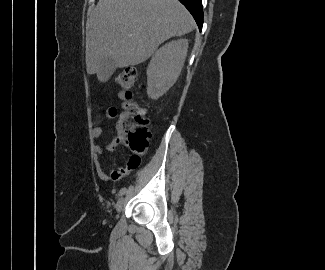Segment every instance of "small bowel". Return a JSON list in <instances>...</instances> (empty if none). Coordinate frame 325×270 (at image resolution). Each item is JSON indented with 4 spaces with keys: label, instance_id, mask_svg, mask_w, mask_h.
I'll return each instance as SVG.
<instances>
[{
    "label": "small bowel",
    "instance_id": "1",
    "mask_svg": "<svg viewBox=\"0 0 325 270\" xmlns=\"http://www.w3.org/2000/svg\"><path fill=\"white\" fill-rule=\"evenodd\" d=\"M117 116H118V110L116 107H110L105 113V118L108 120L114 119ZM102 133H103L102 128L96 126L92 129L91 136L93 140H98L101 138ZM118 144L119 141L117 139H114L110 143H108L105 147L101 145H94L93 147V152L95 155L96 172L98 177L103 181H109L110 179H114V180L118 179L128 171L135 169V168H129L128 166L126 167L115 166L112 170L108 171L104 168L101 162L102 155L104 154L105 151H109V152L114 151Z\"/></svg>",
    "mask_w": 325,
    "mask_h": 270
}]
</instances>
